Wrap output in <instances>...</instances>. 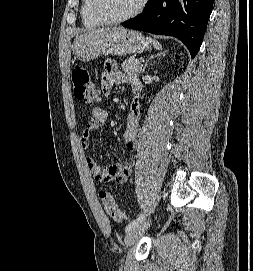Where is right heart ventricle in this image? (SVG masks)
<instances>
[{
  "label": "right heart ventricle",
  "mask_w": 253,
  "mask_h": 271,
  "mask_svg": "<svg viewBox=\"0 0 253 271\" xmlns=\"http://www.w3.org/2000/svg\"><path fill=\"white\" fill-rule=\"evenodd\" d=\"M93 0H82L80 16L82 24L87 29H96L103 24L95 17L92 10Z\"/></svg>",
  "instance_id": "right-heart-ventricle-1"
}]
</instances>
